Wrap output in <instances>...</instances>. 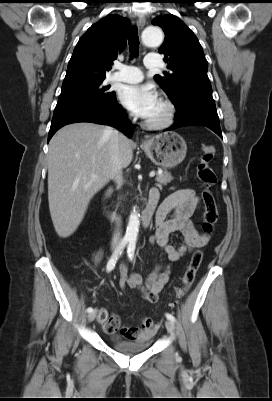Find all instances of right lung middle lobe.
Returning a JSON list of instances; mask_svg holds the SVG:
<instances>
[{"label": "right lung middle lobe", "mask_w": 272, "mask_h": 401, "mask_svg": "<svg viewBox=\"0 0 272 401\" xmlns=\"http://www.w3.org/2000/svg\"><path fill=\"white\" fill-rule=\"evenodd\" d=\"M103 85V80L62 90L54 113L81 105L106 106L116 98L115 92Z\"/></svg>", "instance_id": "dd1d6c3e"}]
</instances>
